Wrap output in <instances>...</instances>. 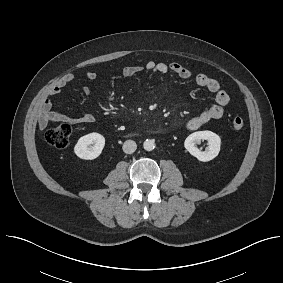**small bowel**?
<instances>
[{
	"instance_id": "c3829d8e",
	"label": "small bowel",
	"mask_w": 283,
	"mask_h": 283,
	"mask_svg": "<svg viewBox=\"0 0 283 283\" xmlns=\"http://www.w3.org/2000/svg\"><path fill=\"white\" fill-rule=\"evenodd\" d=\"M147 71L157 75H167L173 73L182 79L193 80L196 85L206 89L209 92L215 93V102L209 108L202 111L200 114L190 118L186 123V128L190 131H194L202 127L204 124L211 120L220 119L224 114V107L229 103V94L220 89V83L215 78H212L206 74H197L193 76L192 72L186 67L177 62L164 63V62H148L145 66L127 65L123 67L122 74L125 77H132L142 71ZM96 74L93 71H88L84 74V78L87 80L95 79ZM75 79L74 74L65 75L61 81L53 87L50 92V96L58 95L62 89L70 84ZM83 93L86 97L90 96V88L88 86L83 87ZM95 120V116L91 112H87L81 116H70L52 111V102L49 98L45 99L41 104L40 113L38 116V123L41 129H45L52 122H64L70 124H82L92 123Z\"/></svg>"
}]
</instances>
